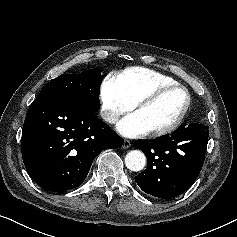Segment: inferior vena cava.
Masks as SVG:
<instances>
[{
    "label": "inferior vena cava",
    "mask_w": 237,
    "mask_h": 237,
    "mask_svg": "<svg viewBox=\"0 0 237 237\" xmlns=\"http://www.w3.org/2000/svg\"><path fill=\"white\" fill-rule=\"evenodd\" d=\"M100 115L105 121L109 123H115L118 120V116L115 113L108 110L101 111Z\"/></svg>",
    "instance_id": "602c4592"
}]
</instances>
